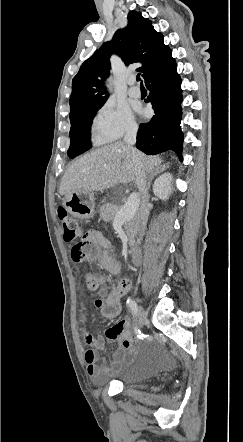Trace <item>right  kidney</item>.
<instances>
[{"mask_svg":"<svg viewBox=\"0 0 243 442\" xmlns=\"http://www.w3.org/2000/svg\"><path fill=\"white\" fill-rule=\"evenodd\" d=\"M171 180L172 175L170 173L161 175L153 185L154 194L162 200L168 199L171 193Z\"/></svg>","mask_w":243,"mask_h":442,"instance_id":"obj_1","label":"right kidney"}]
</instances>
